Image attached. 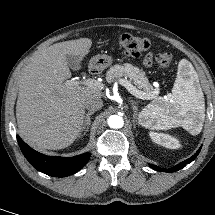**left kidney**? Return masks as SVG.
I'll return each instance as SVG.
<instances>
[{"instance_id": "1", "label": "left kidney", "mask_w": 215, "mask_h": 215, "mask_svg": "<svg viewBox=\"0 0 215 215\" xmlns=\"http://www.w3.org/2000/svg\"><path fill=\"white\" fill-rule=\"evenodd\" d=\"M149 135L154 143L161 145L163 147L169 149H177L180 147L179 140L168 134L150 132Z\"/></svg>"}]
</instances>
